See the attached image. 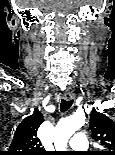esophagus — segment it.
Wrapping results in <instances>:
<instances>
[{
	"label": "esophagus",
	"mask_w": 115,
	"mask_h": 155,
	"mask_svg": "<svg viewBox=\"0 0 115 155\" xmlns=\"http://www.w3.org/2000/svg\"><path fill=\"white\" fill-rule=\"evenodd\" d=\"M63 98L67 101L74 99V95L72 93H65Z\"/></svg>",
	"instance_id": "esophagus-1"
}]
</instances>
